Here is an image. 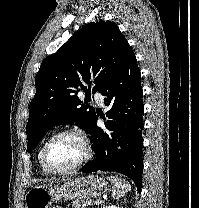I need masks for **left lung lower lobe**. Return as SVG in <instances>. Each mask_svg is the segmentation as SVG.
Returning a JSON list of instances; mask_svg holds the SVG:
<instances>
[{"instance_id":"0a47b994","label":"left lung lower lobe","mask_w":199,"mask_h":208,"mask_svg":"<svg viewBox=\"0 0 199 208\" xmlns=\"http://www.w3.org/2000/svg\"><path fill=\"white\" fill-rule=\"evenodd\" d=\"M110 107L105 127L97 126V116L91 124L94 159L80 171H116L131 178L140 193L142 186V115L143 91L136 57H130L118 73L99 91Z\"/></svg>"}]
</instances>
